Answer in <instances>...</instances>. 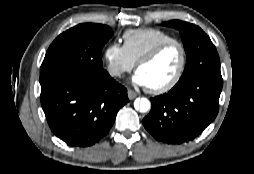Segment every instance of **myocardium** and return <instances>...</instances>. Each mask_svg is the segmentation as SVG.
<instances>
[{"instance_id": "f54148a6", "label": "myocardium", "mask_w": 254, "mask_h": 174, "mask_svg": "<svg viewBox=\"0 0 254 174\" xmlns=\"http://www.w3.org/2000/svg\"><path fill=\"white\" fill-rule=\"evenodd\" d=\"M171 46H178L181 52V62L180 66L175 74V76L163 86L157 88L147 87V90L152 94H163L172 90L181 80L187 65V50L184 44L176 39L161 43L149 51L145 56H143L136 64V69L138 70L141 66L148 64L155 60L164 50Z\"/></svg>"}]
</instances>
